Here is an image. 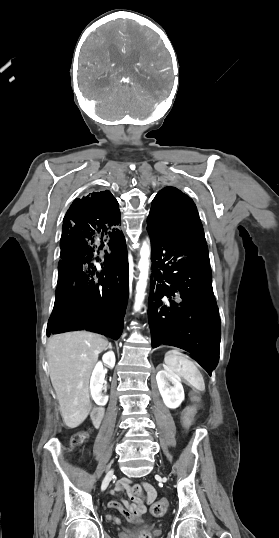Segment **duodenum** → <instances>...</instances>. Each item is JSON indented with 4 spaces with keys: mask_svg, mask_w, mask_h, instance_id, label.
Segmentation results:
<instances>
[{
    "mask_svg": "<svg viewBox=\"0 0 279 538\" xmlns=\"http://www.w3.org/2000/svg\"><path fill=\"white\" fill-rule=\"evenodd\" d=\"M92 417H93V423L94 427L96 429H99L101 427V424L104 422L105 414L103 413L102 409H93L91 411Z\"/></svg>",
    "mask_w": 279,
    "mask_h": 538,
    "instance_id": "duodenum-1",
    "label": "duodenum"
}]
</instances>
